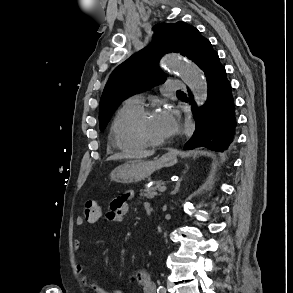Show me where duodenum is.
Instances as JSON below:
<instances>
[{
    "mask_svg": "<svg viewBox=\"0 0 293 293\" xmlns=\"http://www.w3.org/2000/svg\"><path fill=\"white\" fill-rule=\"evenodd\" d=\"M145 212L147 215H150L152 213V207H146Z\"/></svg>",
    "mask_w": 293,
    "mask_h": 293,
    "instance_id": "obj_1",
    "label": "duodenum"
}]
</instances>
